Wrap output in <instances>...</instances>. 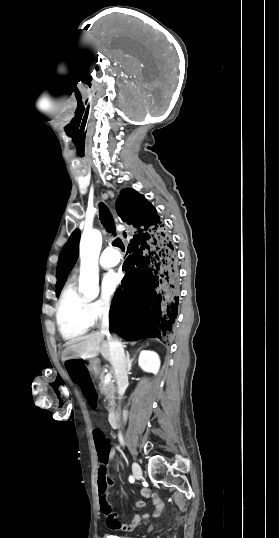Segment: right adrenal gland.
<instances>
[{
	"mask_svg": "<svg viewBox=\"0 0 279 538\" xmlns=\"http://www.w3.org/2000/svg\"><path fill=\"white\" fill-rule=\"evenodd\" d=\"M139 350H141V348H139ZM125 360L127 362L128 370H131V362H133V360H130L129 352H126Z\"/></svg>",
	"mask_w": 279,
	"mask_h": 538,
	"instance_id": "obj_1",
	"label": "right adrenal gland"
}]
</instances>
